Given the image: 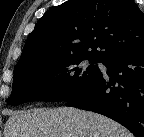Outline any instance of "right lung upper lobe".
Wrapping results in <instances>:
<instances>
[{
    "label": "right lung upper lobe",
    "instance_id": "1",
    "mask_svg": "<svg viewBox=\"0 0 144 137\" xmlns=\"http://www.w3.org/2000/svg\"><path fill=\"white\" fill-rule=\"evenodd\" d=\"M144 45V14L133 0H69L45 12L16 66L68 57L105 62Z\"/></svg>",
    "mask_w": 144,
    "mask_h": 137
}]
</instances>
